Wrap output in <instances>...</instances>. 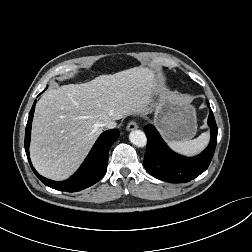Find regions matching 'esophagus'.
I'll list each match as a JSON object with an SVG mask.
<instances>
[{"mask_svg":"<svg viewBox=\"0 0 252 252\" xmlns=\"http://www.w3.org/2000/svg\"><path fill=\"white\" fill-rule=\"evenodd\" d=\"M137 128H138V126H137V123H136L135 121H130V122L128 123L127 127H126V129H127L128 131H132V130H135V129H137Z\"/></svg>","mask_w":252,"mask_h":252,"instance_id":"obj_1","label":"esophagus"}]
</instances>
